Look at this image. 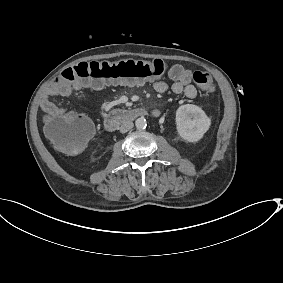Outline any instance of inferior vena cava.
Returning <instances> with one entry per match:
<instances>
[{
    "label": "inferior vena cava",
    "instance_id": "1",
    "mask_svg": "<svg viewBox=\"0 0 283 283\" xmlns=\"http://www.w3.org/2000/svg\"><path fill=\"white\" fill-rule=\"evenodd\" d=\"M133 128V122L131 121H125L121 124L120 126V132L121 133H126L129 130H131Z\"/></svg>",
    "mask_w": 283,
    "mask_h": 283
}]
</instances>
